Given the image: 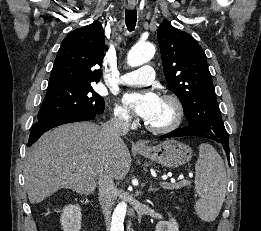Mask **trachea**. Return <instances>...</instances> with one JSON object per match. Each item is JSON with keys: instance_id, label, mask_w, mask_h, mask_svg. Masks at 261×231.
I'll return each mask as SVG.
<instances>
[{"instance_id": "3493384b", "label": "trachea", "mask_w": 261, "mask_h": 231, "mask_svg": "<svg viewBox=\"0 0 261 231\" xmlns=\"http://www.w3.org/2000/svg\"><path fill=\"white\" fill-rule=\"evenodd\" d=\"M137 21V12L136 10H126L125 13V22L127 29L131 32L134 30Z\"/></svg>"}]
</instances>
